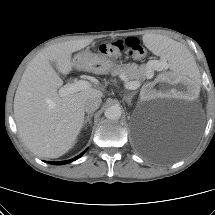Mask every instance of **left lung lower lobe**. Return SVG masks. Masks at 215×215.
<instances>
[{"label":"left lung lower lobe","instance_id":"0a47b994","mask_svg":"<svg viewBox=\"0 0 215 215\" xmlns=\"http://www.w3.org/2000/svg\"><path fill=\"white\" fill-rule=\"evenodd\" d=\"M156 154L163 158H171L177 155L175 150L170 145H164L162 148L156 151Z\"/></svg>","mask_w":215,"mask_h":215}]
</instances>
